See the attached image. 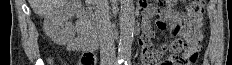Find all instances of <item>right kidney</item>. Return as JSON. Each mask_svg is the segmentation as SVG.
Returning <instances> with one entry per match:
<instances>
[{"label":"right kidney","mask_w":232,"mask_h":65,"mask_svg":"<svg viewBox=\"0 0 232 65\" xmlns=\"http://www.w3.org/2000/svg\"><path fill=\"white\" fill-rule=\"evenodd\" d=\"M75 7L66 2L53 9L44 18V31L58 45H66L75 36L74 26L68 20L74 15Z\"/></svg>","instance_id":"ca27d5eb"}]
</instances>
